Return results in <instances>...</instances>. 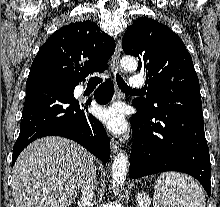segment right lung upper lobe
<instances>
[{
	"label": "right lung upper lobe",
	"mask_w": 220,
	"mask_h": 207,
	"mask_svg": "<svg viewBox=\"0 0 220 207\" xmlns=\"http://www.w3.org/2000/svg\"><path fill=\"white\" fill-rule=\"evenodd\" d=\"M115 51V41L90 20L70 23L54 32L39 49L28 79L52 77L73 83L103 72Z\"/></svg>",
	"instance_id": "cb5924a9"
}]
</instances>
